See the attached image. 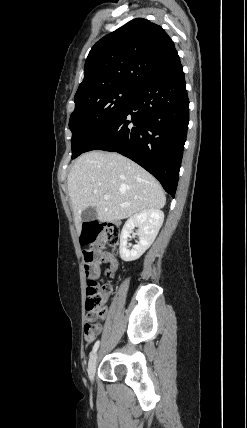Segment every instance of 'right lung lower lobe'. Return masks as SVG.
<instances>
[{
	"mask_svg": "<svg viewBox=\"0 0 247 428\" xmlns=\"http://www.w3.org/2000/svg\"><path fill=\"white\" fill-rule=\"evenodd\" d=\"M188 122L189 100L178 59L146 82L85 152L112 151L130 158L174 198Z\"/></svg>",
	"mask_w": 247,
	"mask_h": 428,
	"instance_id": "98d812e1",
	"label": "right lung lower lobe"
}]
</instances>
